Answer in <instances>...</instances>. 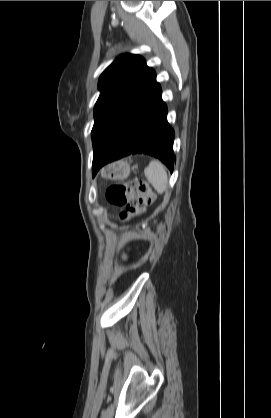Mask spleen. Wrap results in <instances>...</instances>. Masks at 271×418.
<instances>
[{"label": "spleen", "mask_w": 271, "mask_h": 418, "mask_svg": "<svg viewBox=\"0 0 271 418\" xmlns=\"http://www.w3.org/2000/svg\"><path fill=\"white\" fill-rule=\"evenodd\" d=\"M144 174L158 193L162 194L167 189V173L164 165L158 160L151 161L144 169Z\"/></svg>", "instance_id": "1"}]
</instances>
